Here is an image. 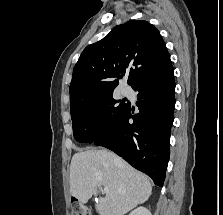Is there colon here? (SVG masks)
Wrapping results in <instances>:
<instances>
[{
  "label": "colon",
  "instance_id": "colon-1",
  "mask_svg": "<svg viewBox=\"0 0 223 215\" xmlns=\"http://www.w3.org/2000/svg\"><path fill=\"white\" fill-rule=\"evenodd\" d=\"M71 215H92V212L86 205L73 201L71 204Z\"/></svg>",
  "mask_w": 223,
  "mask_h": 215
}]
</instances>
